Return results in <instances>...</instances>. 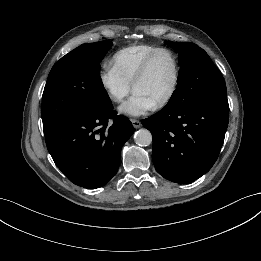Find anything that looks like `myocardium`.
Wrapping results in <instances>:
<instances>
[{"mask_svg": "<svg viewBox=\"0 0 261 261\" xmlns=\"http://www.w3.org/2000/svg\"><path fill=\"white\" fill-rule=\"evenodd\" d=\"M159 53H167L171 56V58L173 60V64H174V77H173V82H172V85H171L168 93L165 95V97L163 99H161L158 103L155 104L154 107L156 109H161V108L165 107L166 105H168L177 92L178 85H179V79H180V65H179L178 57L175 54V52L166 47H159L156 50L152 51L144 59L136 76L134 77V79L132 81V89L134 90L135 86L146 77L153 59Z\"/></svg>", "mask_w": 261, "mask_h": 261, "instance_id": "obj_1", "label": "myocardium"}]
</instances>
